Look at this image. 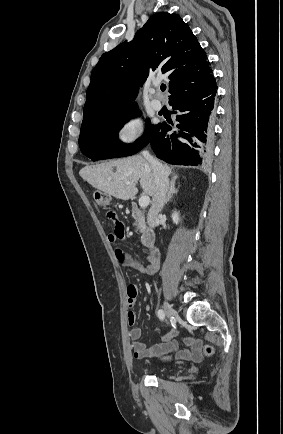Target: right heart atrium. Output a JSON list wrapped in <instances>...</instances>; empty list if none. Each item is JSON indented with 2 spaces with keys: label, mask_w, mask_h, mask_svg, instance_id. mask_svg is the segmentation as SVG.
<instances>
[{
  "label": "right heart atrium",
  "mask_w": 283,
  "mask_h": 434,
  "mask_svg": "<svg viewBox=\"0 0 283 434\" xmlns=\"http://www.w3.org/2000/svg\"><path fill=\"white\" fill-rule=\"evenodd\" d=\"M145 133L143 118L135 113L125 115L117 125L115 138L121 147H129L139 142Z\"/></svg>",
  "instance_id": "1"
}]
</instances>
